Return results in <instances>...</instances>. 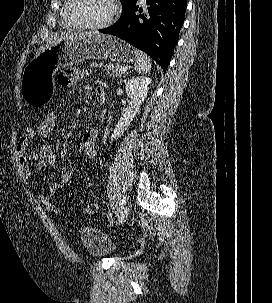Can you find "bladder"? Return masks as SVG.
<instances>
[{"mask_svg":"<svg viewBox=\"0 0 272 303\" xmlns=\"http://www.w3.org/2000/svg\"><path fill=\"white\" fill-rule=\"evenodd\" d=\"M78 238L83 249L93 257H118L119 248L102 229L83 225L78 229Z\"/></svg>","mask_w":272,"mask_h":303,"instance_id":"31cf9c89","label":"bladder"}]
</instances>
